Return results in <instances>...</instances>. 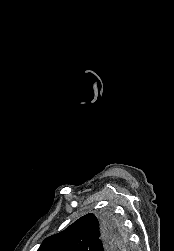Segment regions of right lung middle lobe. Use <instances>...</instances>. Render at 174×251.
Returning <instances> with one entry per match:
<instances>
[{
    "instance_id": "obj_1",
    "label": "right lung middle lobe",
    "mask_w": 174,
    "mask_h": 251,
    "mask_svg": "<svg viewBox=\"0 0 174 251\" xmlns=\"http://www.w3.org/2000/svg\"><path fill=\"white\" fill-rule=\"evenodd\" d=\"M105 219H107V220H109V221L115 223V220H113V218H112L111 216H106ZM115 224H116V223H115ZM122 246H124V243H123Z\"/></svg>"
}]
</instances>
